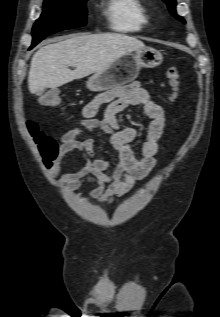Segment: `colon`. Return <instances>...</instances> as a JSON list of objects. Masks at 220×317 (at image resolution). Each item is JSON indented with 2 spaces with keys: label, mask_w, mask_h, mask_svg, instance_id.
I'll return each instance as SVG.
<instances>
[{
  "label": "colon",
  "mask_w": 220,
  "mask_h": 317,
  "mask_svg": "<svg viewBox=\"0 0 220 317\" xmlns=\"http://www.w3.org/2000/svg\"><path fill=\"white\" fill-rule=\"evenodd\" d=\"M167 81L172 89L171 99H175L180 81V74L177 68L171 67L166 71ZM62 102L60 94L55 91H47L40 97L41 105L48 108L58 107ZM28 132L38 148L40 157L45 165H51L59 154V144L57 140L39 129L34 121L27 122Z\"/></svg>",
  "instance_id": "colon-1"
}]
</instances>
